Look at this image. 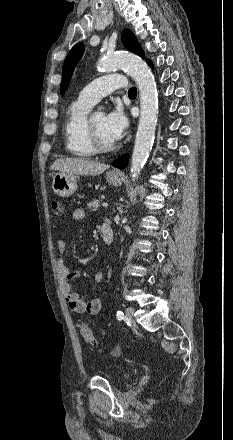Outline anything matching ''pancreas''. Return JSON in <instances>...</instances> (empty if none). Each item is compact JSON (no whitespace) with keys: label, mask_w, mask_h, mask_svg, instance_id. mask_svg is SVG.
<instances>
[{"label":"pancreas","mask_w":233,"mask_h":440,"mask_svg":"<svg viewBox=\"0 0 233 440\" xmlns=\"http://www.w3.org/2000/svg\"><path fill=\"white\" fill-rule=\"evenodd\" d=\"M87 206L91 211H96L100 207V200L94 199L93 201L88 203Z\"/></svg>","instance_id":"1"}]
</instances>
